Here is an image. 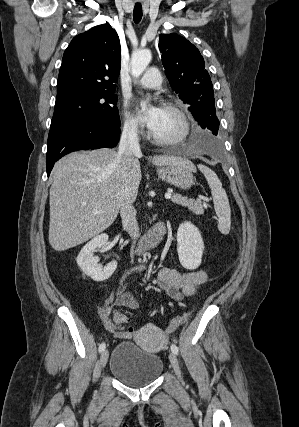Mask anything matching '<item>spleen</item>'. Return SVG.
Masks as SVG:
<instances>
[{
	"mask_svg": "<svg viewBox=\"0 0 299 427\" xmlns=\"http://www.w3.org/2000/svg\"><path fill=\"white\" fill-rule=\"evenodd\" d=\"M211 189L215 212L218 216V229L222 234H228L231 226V209L225 190L216 173L205 165H198Z\"/></svg>",
	"mask_w": 299,
	"mask_h": 427,
	"instance_id": "3e777b00",
	"label": "spleen"
}]
</instances>
